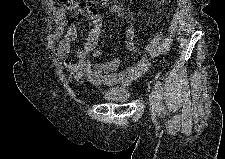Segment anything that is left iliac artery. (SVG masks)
<instances>
[{
	"label": "left iliac artery",
	"mask_w": 225,
	"mask_h": 159,
	"mask_svg": "<svg viewBox=\"0 0 225 159\" xmlns=\"http://www.w3.org/2000/svg\"><path fill=\"white\" fill-rule=\"evenodd\" d=\"M155 93L157 94V97L160 101V111L164 112L165 111V106L164 104L161 102L162 100V96H163V87L160 81H157L155 84Z\"/></svg>",
	"instance_id": "44dca946"
}]
</instances>
